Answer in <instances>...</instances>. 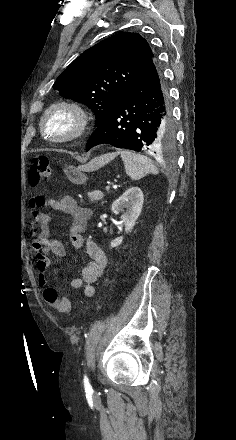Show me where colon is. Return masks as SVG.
Returning <instances> with one entry per match:
<instances>
[{"instance_id": "5ec220e1", "label": "colon", "mask_w": 236, "mask_h": 440, "mask_svg": "<svg viewBox=\"0 0 236 440\" xmlns=\"http://www.w3.org/2000/svg\"><path fill=\"white\" fill-rule=\"evenodd\" d=\"M49 175V159L46 156H36L33 158L28 176L30 184L34 187L40 186L47 181ZM43 296L46 302L60 314L69 315L71 313L70 301L65 297H59L54 288H45Z\"/></svg>"}]
</instances>
